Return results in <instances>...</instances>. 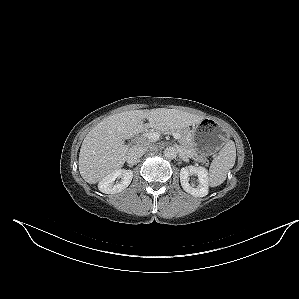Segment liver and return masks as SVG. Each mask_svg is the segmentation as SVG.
I'll use <instances>...</instances> for the list:
<instances>
[{
  "instance_id": "obj_1",
  "label": "liver",
  "mask_w": 299,
  "mask_h": 299,
  "mask_svg": "<svg viewBox=\"0 0 299 299\" xmlns=\"http://www.w3.org/2000/svg\"><path fill=\"white\" fill-rule=\"evenodd\" d=\"M149 121L143 124V119ZM204 116L175 109L131 110L108 116L92 128L83 140L79 154V172L89 184H95L119 170L129 147L124 144L151 127L156 130L182 129L201 122Z\"/></svg>"
}]
</instances>
